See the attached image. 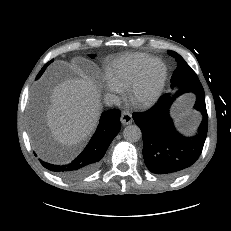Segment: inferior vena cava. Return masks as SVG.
<instances>
[{"label":"inferior vena cava","mask_w":231,"mask_h":231,"mask_svg":"<svg viewBox=\"0 0 231 231\" xmlns=\"http://www.w3.org/2000/svg\"><path fill=\"white\" fill-rule=\"evenodd\" d=\"M104 103L108 106H112V105H120V99L117 95L115 94H106L104 96Z\"/></svg>","instance_id":"1"}]
</instances>
